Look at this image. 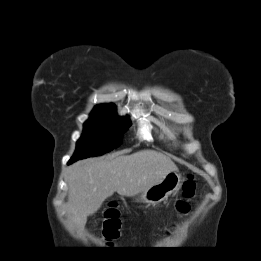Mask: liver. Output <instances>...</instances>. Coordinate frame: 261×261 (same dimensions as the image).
I'll use <instances>...</instances> for the list:
<instances>
[{"instance_id":"obj_1","label":"liver","mask_w":261,"mask_h":261,"mask_svg":"<svg viewBox=\"0 0 261 261\" xmlns=\"http://www.w3.org/2000/svg\"><path fill=\"white\" fill-rule=\"evenodd\" d=\"M175 163L154 150H141L131 155H113L79 161L67 169L68 214L83 229L87 217L117 192L135 196L161 182Z\"/></svg>"}]
</instances>
